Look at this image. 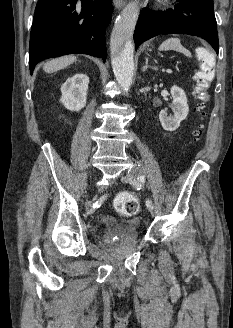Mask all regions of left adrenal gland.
Returning a JSON list of instances; mask_svg holds the SVG:
<instances>
[{
	"label": "left adrenal gland",
	"mask_w": 233,
	"mask_h": 328,
	"mask_svg": "<svg viewBox=\"0 0 233 328\" xmlns=\"http://www.w3.org/2000/svg\"><path fill=\"white\" fill-rule=\"evenodd\" d=\"M152 69V70H155L157 71V67H153V66H150L148 65V58L145 59V65L142 67V71L145 72L147 69Z\"/></svg>",
	"instance_id": "left-adrenal-gland-1"
}]
</instances>
